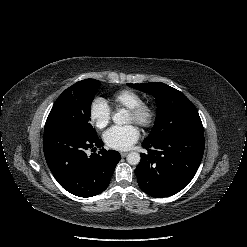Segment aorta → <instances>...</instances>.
<instances>
[{"label":"aorta","mask_w":247,"mask_h":247,"mask_svg":"<svg viewBox=\"0 0 247 247\" xmlns=\"http://www.w3.org/2000/svg\"><path fill=\"white\" fill-rule=\"evenodd\" d=\"M128 118V112L125 109H120L113 115L112 120L117 125H123L128 122ZM126 159L130 165H137L140 162V154L138 152H130Z\"/></svg>","instance_id":"762f6f07"}]
</instances>
